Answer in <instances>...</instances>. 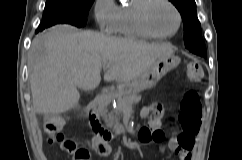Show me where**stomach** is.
<instances>
[{
	"mask_svg": "<svg viewBox=\"0 0 242 160\" xmlns=\"http://www.w3.org/2000/svg\"><path fill=\"white\" fill-rule=\"evenodd\" d=\"M179 63L180 58L174 55L158 59L137 78L119 83L117 86L118 91L125 96L151 89L164 75L176 68Z\"/></svg>",
	"mask_w": 242,
	"mask_h": 160,
	"instance_id": "1",
	"label": "stomach"
}]
</instances>
